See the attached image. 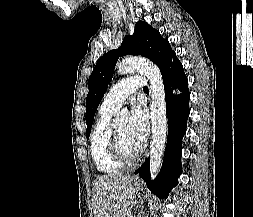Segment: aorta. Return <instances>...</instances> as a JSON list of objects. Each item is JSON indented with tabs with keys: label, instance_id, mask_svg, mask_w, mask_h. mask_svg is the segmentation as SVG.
<instances>
[{
	"label": "aorta",
	"instance_id": "762f6f07",
	"mask_svg": "<svg viewBox=\"0 0 253 217\" xmlns=\"http://www.w3.org/2000/svg\"><path fill=\"white\" fill-rule=\"evenodd\" d=\"M139 72L150 81L152 142L150 146V172L154 180L162 163L167 139V118L165 90L160 69L151 61L143 58H125L118 66V74ZM128 111L123 109L117 115V122L127 121Z\"/></svg>",
	"mask_w": 253,
	"mask_h": 217
}]
</instances>
